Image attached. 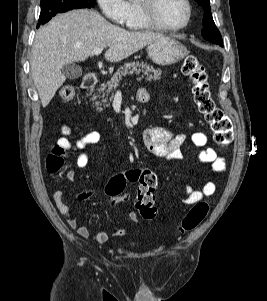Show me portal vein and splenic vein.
I'll return each instance as SVG.
<instances>
[{
  "label": "portal vein and splenic vein",
  "instance_id": "18ae733b",
  "mask_svg": "<svg viewBox=\"0 0 267 301\" xmlns=\"http://www.w3.org/2000/svg\"><path fill=\"white\" fill-rule=\"evenodd\" d=\"M103 51V48H98L92 52L93 55H99Z\"/></svg>",
  "mask_w": 267,
  "mask_h": 301
}]
</instances>
